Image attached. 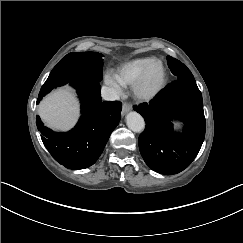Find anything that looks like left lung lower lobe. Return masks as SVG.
I'll list each match as a JSON object with an SVG mask.
<instances>
[{
    "instance_id": "obj_1",
    "label": "left lung lower lobe",
    "mask_w": 243,
    "mask_h": 243,
    "mask_svg": "<svg viewBox=\"0 0 243 243\" xmlns=\"http://www.w3.org/2000/svg\"><path fill=\"white\" fill-rule=\"evenodd\" d=\"M133 108L146 122L138 139L146 164L164 175L187 168L202 146L206 128L202 95L195 80L177 79L149 103ZM174 117L184 123L181 134L173 130Z\"/></svg>"
}]
</instances>
